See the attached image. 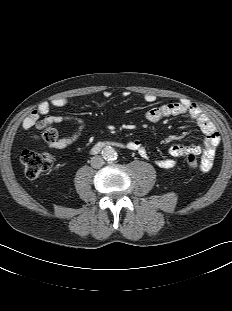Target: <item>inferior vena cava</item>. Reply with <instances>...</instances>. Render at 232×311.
Instances as JSON below:
<instances>
[{
  "label": "inferior vena cava",
  "instance_id": "1",
  "mask_svg": "<svg viewBox=\"0 0 232 311\" xmlns=\"http://www.w3.org/2000/svg\"><path fill=\"white\" fill-rule=\"evenodd\" d=\"M91 166L93 167V168H100V167H102L103 165H104V160H103V158L101 157V156H93L92 158H91Z\"/></svg>",
  "mask_w": 232,
  "mask_h": 311
}]
</instances>
